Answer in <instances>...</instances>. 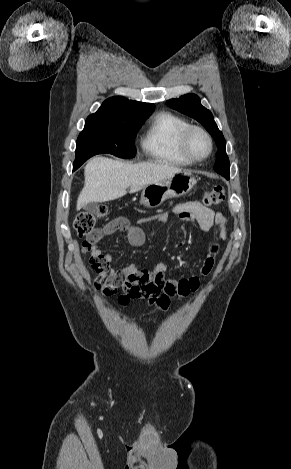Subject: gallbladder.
<instances>
[{"mask_svg": "<svg viewBox=\"0 0 291 469\" xmlns=\"http://www.w3.org/2000/svg\"><path fill=\"white\" fill-rule=\"evenodd\" d=\"M84 209L91 214H95L99 211V204L97 202H90L84 207Z\"/></svg>", "mask_w": 291, "mask_h": 469, "instance_id": "obj_1", "label": "gallbladder"}]
</instances>
